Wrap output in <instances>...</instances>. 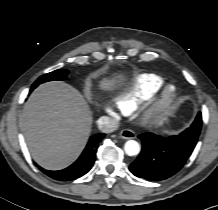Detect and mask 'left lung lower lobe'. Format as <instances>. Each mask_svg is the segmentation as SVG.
<instances>
[{
	"mask_svg": "<svg viewBox=\"0 0 218 210\" xmlns=\"http://www.w3.org/2000/svg\"><path fill=\"white\" fill-rule=\"evenodd\" d=\"M186 130L166 138L151 132L140 134L142 151L129 170L149 181L164 180L177 173L191 155L199 136L196 131Z\"/></svg>",
	"mask_w": 218,
	"mask_h": 210,
	"instance_id": "left-lung-lower-lobe-1",
	"label": "left lung lower lobe"
}]
</instances>
